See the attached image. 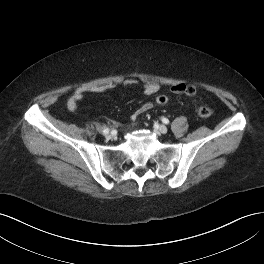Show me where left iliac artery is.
I'll use <instances>...</instances> for the list:
<instances>
[{"label": "left iliac artery", "instance_id": "obj_1", "mask_svg": "<svg viewBox=\"0 0 264 264\" xmlns=\"http://www.w3.org/2000/svg\"><path fill=\"white\" fill-rule=\"evenodd\" d=\"M162 122L165 123V124H168L169 120L167 118H162Z\"/></svg>", "mask_w": 264, "mask_h": 264}]
</instances>
